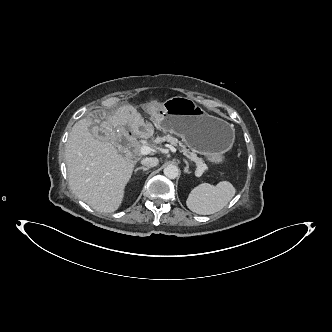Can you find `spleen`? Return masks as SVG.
I'll return each mask as SVG.
<instances>
[{"instance_id":"3e777b00","label":"spleen","mask_w":332,"mask_h":332,"mask_svg":"<svg viewBox=\"0 0 332 332\" xmlns=\"http://www.w3.org/2000/svg\"><path fill=\"white\" fill-rule=\"evenodd\" d=\"M235 188L228 181H221L217 186L202 183L189 194L187 207L200 215L214 214L223 209L235 196Z\"/></svg>"}]
</instances>
